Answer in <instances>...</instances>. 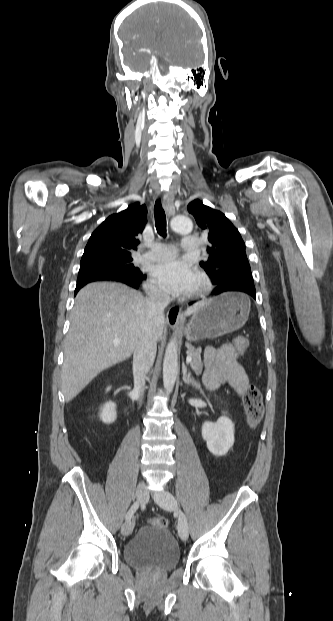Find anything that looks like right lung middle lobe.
<instances>
[{
    "instance_id": "obj_1",
    "label": "right lung middle lobe",
    "mask_w": 333,
    "mask_h": 621,
    "mask_svg": "<svg viewBox=\"0 0 333 621\" xmlns=\"http://www.w3.org/2000/svg\"><path fill=\"white\" fill-rule=\"evenodd\" d=\"M132 260L131 256L82 258L78 275L102 273L135 278L142 276V272L134 267Z\"/></svg>"
}]
</instances>
